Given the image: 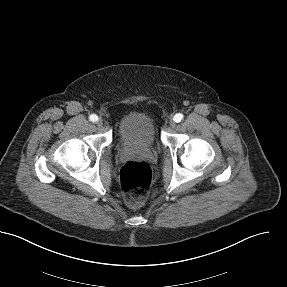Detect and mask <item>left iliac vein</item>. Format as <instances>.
<instances>
[{"label": "left iliac vein", "mask_w": 287, "mask_h": 287, "mask_svg": "<svg viewBox=\"0 0 287 287\" xmlns=\"http://www.w3.org/2000/svg\"><path fill=\"white\" fill-rule=\"evenodd\" d=\"M170 127L174 128L176 126V122L174 120H171L169 122Z\"/></svg>", "instance_id": "1"}]
</instances>
